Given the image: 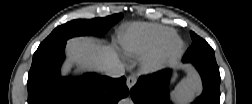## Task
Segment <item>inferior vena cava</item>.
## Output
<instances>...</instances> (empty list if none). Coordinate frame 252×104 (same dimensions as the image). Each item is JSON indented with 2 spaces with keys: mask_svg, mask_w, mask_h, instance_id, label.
<instances>
[{
  "mask_svg": "<svg viewBox=\"0 0 252 104\" xmlns=\"http://www.w3.org/2000/svg\"><path fill=\"white\" fill-rule=\"evenodd\" d=\"M103 71L107 76L112 78H119L125 74V68L119 62L104 67Z\"/></svg>",
  "mask_w": 252,
  "mask_h": 104,
  "instance_id": "inferior-vena-cava-1",
  "label": "inferior vena cava"
}]
</instances>
